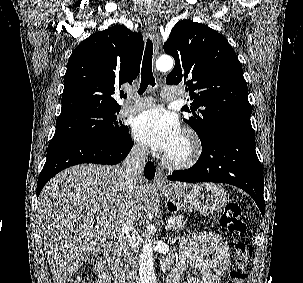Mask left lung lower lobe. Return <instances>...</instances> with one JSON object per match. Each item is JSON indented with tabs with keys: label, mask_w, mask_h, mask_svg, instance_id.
Returning a JSON list of instances; mask_svg holds the SVG:
<instances>
[{
	"label": "left lung lower lobe",
	"mask_w": 303,
	"mask_h": 283,
	"mask_svg": "<svg viewBox=\"0 0 303 283\" xmlns=\"http://www.w3.org/2000/svg\"><path fill=\"white\" fill-rule=\"evenodd\" d=\"M168 180L181 182H217L237 186L256 202L262 215L264 179L255 151L252 128L226 127L212 134L202 143V154L188 170L173 171Z\"/></svg>",
	"instance_id": "0a47b994"
}]
</instances>
